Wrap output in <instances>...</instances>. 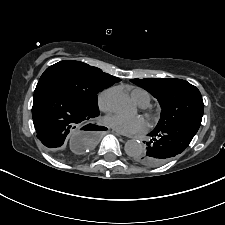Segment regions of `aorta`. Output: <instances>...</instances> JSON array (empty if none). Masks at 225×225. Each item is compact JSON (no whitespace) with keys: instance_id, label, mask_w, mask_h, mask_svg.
<instances>
[{"instance_id":"762f6f07","label":"aorta","mask_w":225,"mask_h":225,"mask_svg":"<svg viewBox=\"0 0 225 225\" xmlns=\"http://www.w3.org/2000/svg\"><path fill=\"white\" fill-rule=\"evenodd\" d=\"M109 103L112 109L118 113H124L132 108L129 97L123 90L116 88L109 95ZM124 150L130 157H138L144 152V146L136 140H128L125 143Z\"/></svg>"}]
</instances>
